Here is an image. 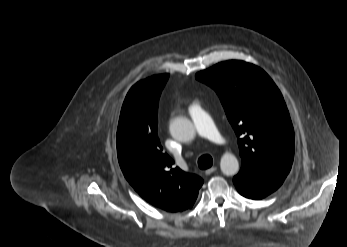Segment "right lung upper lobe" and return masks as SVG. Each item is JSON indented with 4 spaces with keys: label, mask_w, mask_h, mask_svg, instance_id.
I'll return each instance as SVG.
<instances>
[{
    "label": "right lung upper lobe",
    "mask_w": 347,
    "mask_h": 247,
    "mask_svg": "<svg viewBox=\"0 0 347 247\" xmlns=\"http://www.w3.org/2000/svg\"><path fill=\"white\" fill-rule=\"evenodd\" d=\"M168 74L136 83L128 92L117 130V155L124 176L139 195L168 212L191 208L203 180L174 167L157 135L158 101Z\"/></svg>",
    "instance_id": "cb5924a9"
}]
</instances>
